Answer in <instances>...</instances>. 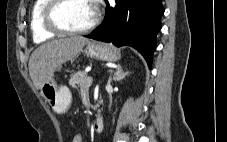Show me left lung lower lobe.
<instances>
[{
	"label": "left lung lower lobe",
	"mask_w": 227,
	"mask_h": 142,
	"mask_svg": "<svg viewBox=\"0 0 227 142\" xmlns=\"http://www.w3.org/2000/svg\"><path fill=\"white\" fill-rule=\"evenodd\" d=\"M107 4L105 19L86 37L137 49L151 67L156 36L164 14L162 0H115Z\"/></svg>",
	"instance_id": "obj_1"
}]
</instances>
